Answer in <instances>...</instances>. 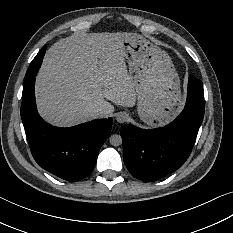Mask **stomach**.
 Instances as JSON below:
<instances>
[{
  "label": "stomach",
  "mask_w": 233,
  "mask_h": 233,
  "mask_svg": "<svg viewBox=\"0 0 233 233\" xmlns=\"http://www.w3.org/2000/svg\"><path fill=\"white\" fill-rule=\"evenodd\" d=\"M136 96V115L147 128H161L183 109L180 78L171 57L140 33L120 44Z\"/></svg>",
  "instance_id": "1"
}]
</instances>
